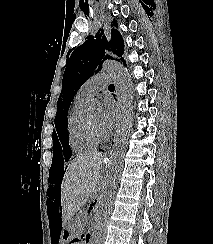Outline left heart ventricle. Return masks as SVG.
<instances>
[{"mask_svg": "<svg viewBox=\"0 0 213 244\" xmlns=\"http://www.w3.org/2000/svg\"><path fill=\"white\" fill-rule=\"evenodd\" d=\"M89 119L93 123V125L100 131L104 132L102 126H101V119H102V114L101 112H95L89 116Z\"/></svg>", "mask_w": 213, "mask_h": 244, "instance_id": "b2bd125f", "label": "left heart ventricle"}]
</instances>
